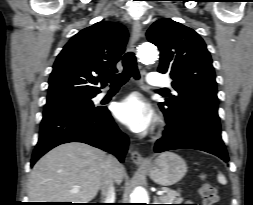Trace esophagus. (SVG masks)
<instances>
[{"mask_svg": "<svg viewBox=\"0 0 253 205\" xmlns=\"http://www.w3.org/2000/svg\"><path fill=\"white\" fill-rule=\"evenodd\" d=\"M141 35H142L141 24L138 21H134L131 36V49L133 50L135 49V46L138 40L140 39ZM130 156L135 164H142L146 162V160L141 156V154L134 149L130 150Z\"/></svg>", "mask_w": 253, "mask_h": 205, "instance_id": "34e87169", "label": "esophagus"}]
</instances>
